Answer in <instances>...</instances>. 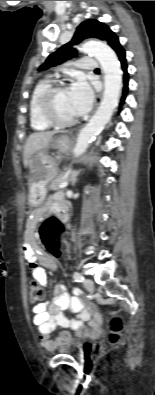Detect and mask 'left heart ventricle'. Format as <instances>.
<instances>
[{
    "mask_svg": "<svg viewBox=\"0 0 155 395\" xmlns=\"http://www.w3.org/2000/svg\"><path fill=\"white\" fill-rule=\"evenodd\" d=\"M53 111L55 115L62 120L75 118L69 101L67 89L56 94L53 101Z\"/></svg>",
    "mask_w": 155,
    "mask_h": 395,
    "instance_id": "obj_1",
    "label": "left heart ventricle"
}]
</instances>
